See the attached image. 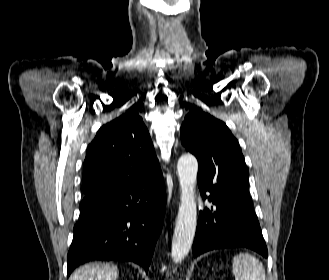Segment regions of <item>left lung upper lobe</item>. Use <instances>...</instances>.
Instances as JSON below:
<instances>
[{"label":"left lung upper lobe","instance_id":"5c2ea615","mask_svg":"<svg viewBox=\"0 0 329 280\" xmlns=\"http://www.w3.org/2000/svg\"><path fill=\"white\" fill-rule=\"evenodd\" d=\"M181 142L198 159L201 190L222 194L248 186L249 172L239 143L222 121L191 111L181 127Z\"/></svg>","mask_w":329,"mask_h":280}]
</instances>
